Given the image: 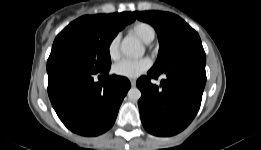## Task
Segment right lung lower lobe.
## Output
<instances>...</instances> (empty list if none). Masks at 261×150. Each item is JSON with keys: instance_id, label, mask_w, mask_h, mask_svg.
Here are the masks:
<instances>
[{"instance_id": "right-lung-lower-lobe-1", "label": "right lung lower lobe", "mask_w": 261, "mask_h": 150, "mask_svg": "<svg viewBox=\"0 0 261 150\" xmlns=\"http://www.w3.org/2000/svg\"><path fill=\"white\" fill-rule=\"evenodd\" d=\"M108 73L109 70L99 73L78 70L48 73L50 101L68 129L83 136H97L112 127L131 85L127 78L109 76ZM96 74L99 82L94 81Z\"/></svg>"}]
</instances>
